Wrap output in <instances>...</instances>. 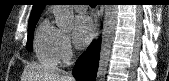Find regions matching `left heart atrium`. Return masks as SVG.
Here are the masks:
<instances>
[{
	"instance_id": "obj_1",
	"label": "left heart atrium",
	"mask_w": 169,
	"mask_h": 81,
	"mask_svg": "<svg viewBox=\"0 0 169 81\" xmlns=\"http://www.w3.org/2000/svg\"><path fill=\"white\" fill-rule=\"evenodd\" d=\"M93 34L91 19L86 15L78 16L74 21L73 38L77 46H85Z\"/></svg>"
}]
</instances>
